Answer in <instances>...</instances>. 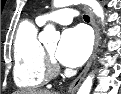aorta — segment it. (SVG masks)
<instances>
[{"instance_id":"1","label":"aorta","mask_w":121,"mask_h":94,"mask_svg":"<svg viewBox=\"0 0 121 94\" xmlns=\"http://www.w3.org/2000/svg\"><path fill=\"white\" fill-rule=\"evenodd\" d=\"M75 3H84L93 9V12L97 17L104 20V10L97 0H54L53 5L56 8L66 7ZM59 34L53 25H47L44 30L39 35V40L47 45H53L59 40ZM94 76L89 75L81 87L79 88L77 94H90Z\"/></svg>"}]
</instances>
